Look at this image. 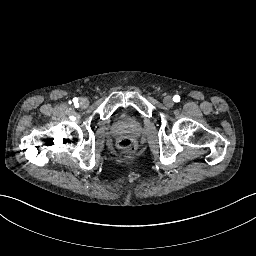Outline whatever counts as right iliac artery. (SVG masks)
I'll use <instances>...</instances> for the list:
<instances>
[{
  "mask_svg": "<svg viewBox=\"0 0 256 256\" xmlns=\"http://www.w3.org/2000/svg\"><path fill=\"white\" fill-rule=\"evenodd\" d=\"M73 102H74V103H77V102H78V99H77V98H74V99H73Z\"/></svg>",
  "mask_w": 256,
  "mask_h": 256,
  "instance_id": "right-iliac-artery-1",
  "label": "right iliac artery"
}]
</instances>
